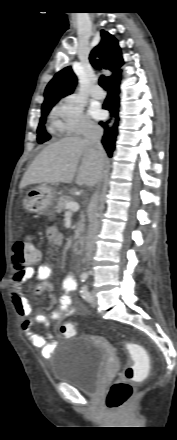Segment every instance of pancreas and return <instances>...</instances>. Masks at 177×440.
Masks as SVG:
<instances>
[{
	"label": "pancreas",
	"mask_w": 177,
	"mask_h": 440,
	"mask_svg": "<svg viewBox=\"0 0 177 440\" xmlns=\"http://www.w3.org/2000/svg\"><path fill=\"white\" fill-rule=\"evenodd\" d=\"M73 202L72 197L70 196H62L58 199L57 201V205L55 207L56 212L60 213L63 209H65L66 204ZM84 222H85V217L84 215H81V220L78 223L77 229L75 231V238H78L80 236V234L83 232L84 230Z\"/></svg>",
	"instance_id": "pancreas-1"
}]
</instances>
